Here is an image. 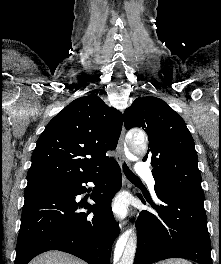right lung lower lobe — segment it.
I'll return each mask as SVG.
<instances>
[{"label":"right lung lower lobe","instance_id":"1","mask_svg":"<svg viewBox=\"0 0 221 264\" xmlns=\"http://www.w3.org/2000/svg\"><path fill=\"white\" fill-rule=\"evenodd\" d=\"M87 182L97 185L91 195L95 205L75 201L86 192L82 183ZM121 184L120 167L112 160L90 176L25 190L15 264H27L48 250L73 254L88 264H110L112 244L119 234L111 199Z\"/></svg>","mask_w":221,"mask_h":264}]
</instances>
